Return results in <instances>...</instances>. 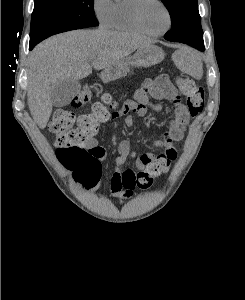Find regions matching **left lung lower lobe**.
<instances>
[{
  "label": "left lung lower lobe",
  "mask_w": 245,
  "mask_h": 300,
  "mask_svg": "<svg viewBox=\"0 0 245 300\" xmlns=\"http://www.w3.org/2000/svg\"><path fill=\"white\" fill-rule=\"evenodd\" d=\"M168 41L186 43L200 51H204L203 33H194L189 37L173 38Z\"/></svg>",
  "instance_id": "left-lung-lower-lobe-1"
}]
</instances>
